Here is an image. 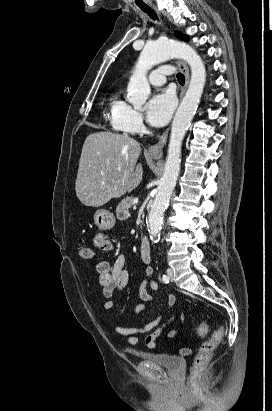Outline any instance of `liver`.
I'll list each match as a JSON object with an SVG mask.
<instances>
[{"label": "liver", "instance_id": "6515ba94", "mask_svg": "<svg viewBox=\"0 0 272 411\" xmlns=\"http://www.w3.org/2000/svg\"><path fill=\"white\" fill-rule=\"evenodd\" d=\"M140 153V143L127 135L90 134L83 144L75 182L81 203L100 207L137 188L143 177L142 164L137 163Z\"/></svg>", "mask_w": 272, "mask_h": 411}]
</instances>
